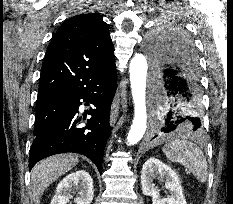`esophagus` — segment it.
Segmentation results:
<instances>
[{"label":"esophagus","mask_w":233,"mask_h":204,"mask_svg":"<svg viewBox=\"0 0 233 204\" xmlns=\"http://www.w3.org/2000/svg\"><path fill=\"white\" fill-rule=\"evenodd\" d=\"M119 104H120V97H119V93H117L115 98H114L112 108H111V114H110V124L111 125H114V123L118 117Z\"/></svg>","instance_id":"1"}]
</instances>
